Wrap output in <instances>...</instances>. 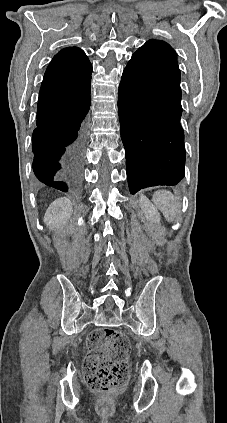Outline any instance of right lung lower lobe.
<instances>
[{
    "instance_id": "obj_1",
    "label": "right lung lower lobe",
    "mask_w": 227,
    "mask_h": 423,
    "mask_svg": "<svg viewBox=\"0 0 227 423\" xmlns=\"http://www.w3.org/2000/svg\"><path fill=\"white\" fill-rule=\"evenodd\" d=\"M90 104V94L66 100L39 97L32 150L33 171L40 186L63 192L77 189L85 152L83 120Z\"/></svg>"
}]
</instances>
